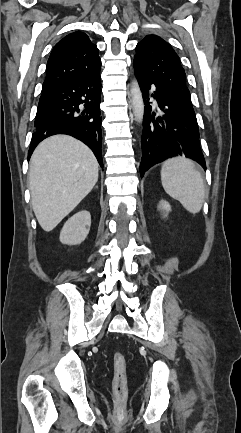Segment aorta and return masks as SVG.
<instances>
[{"mask_svg": "<svg viewBox=\"0 0 241 433\" xmlns=\"http://www.w3.org/2000/svg\"><path fill=\"white\" fill-rule=\"evenodd\" d=\"M130 96L135 120L138 123H141L144 115V103L140 87L136 80H134L131 84Z\"/></svg>", "mask_w": 241, "mask_h": 433, "instance_id": "762f6f07", "label": "aorta"}]
</instances>
